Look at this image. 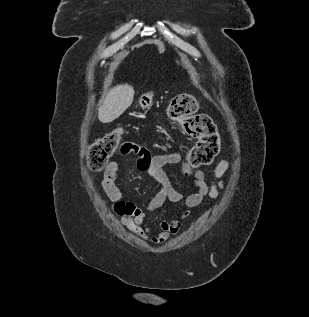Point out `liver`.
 <instances>
[{
    "label": "liver",
    "instance_id": "obj_1",
    "mask_svg": "<svg viewBox=\"0 0 309 317\" xmlns=\"http://www.w3.org/2000/svg\"><path fill=\"white\" fill-rule=\"evenodd\" d=\"M134 89L131 85H117L110 89L98 109V118L103 123H110L122 115L132 104Z\"/></svg>",
    "mask_w": 309,
    "mask_h": 317
}]
</instances>
